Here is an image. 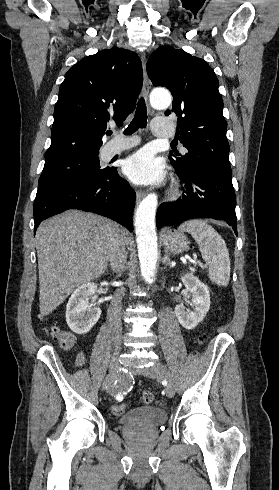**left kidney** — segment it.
<instances>
[{
    "mask_svg": "<svg viewBox=\"0 0 279 490\" xmlns=\"http://www.w3.org/2000/svg\"><path fill=\"white\" fill-rule=\"evenodd\" d=\"M181 282H183L186 288L185 292H190V296H192L194 310L193 312H188L182 304H179V306H175V316L182 328L194 330L199 322L204 320L207 312L210 310L208 286H205L203 282L195 278L193 274H185V276H182Z\"/></svg>",
    "mask_w": 279,
    "mask_h": 490,
    "instance_id": "left-kidney-1",
    "label": "left kidney"
}]
</instances>
